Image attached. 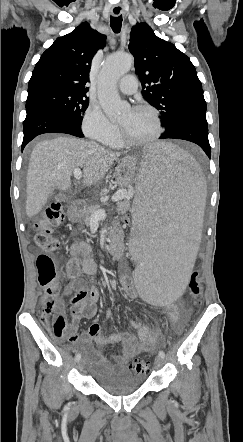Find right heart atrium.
<instances>
[{
  "mask_svg": "<svg viewBox=\"0 0 243 442\" xmlns=\"http://www.w3.org/2000/svg\"><path fill=\"white\" fill-rule=\"evenodd\" d=\"M81 128L86 137L102 143H108L118 134L117 126L111 123L101 107L94 103L87 107Z\"/></svg>",
  "mask_w": 243,
  "mask_h": 442,
  "instance_id": "right-heart-atrium-1",
  "label": "right heart atrium"
}]
</instances>
